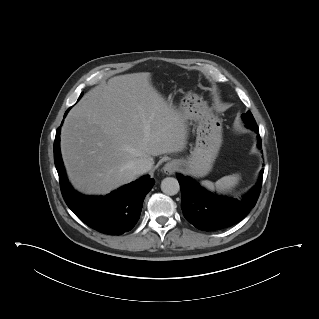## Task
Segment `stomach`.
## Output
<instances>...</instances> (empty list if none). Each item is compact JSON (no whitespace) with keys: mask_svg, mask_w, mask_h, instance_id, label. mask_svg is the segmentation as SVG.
<instances>
[{"mask_svg":"<svg viewBox=\"0 0 319 319\" xmlns=\"http://www.w3.org/2000/svg\"><path fill=\"white\" fill-rule=\"evenodd\" d=\"M186 119L197 124L196 145L187 158L175 159L180 171L194 177L206 176L212 169L222 144V120L206 101L195 93L186 94L179 106Z\"/></svg>","mask_w":319,"mask_h":319,"instance_id":"1","label":"stomach"}]
</instances>
